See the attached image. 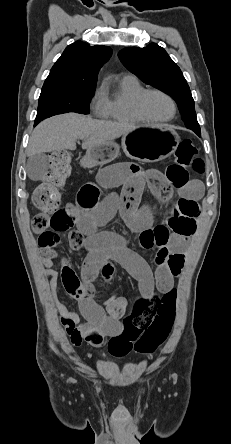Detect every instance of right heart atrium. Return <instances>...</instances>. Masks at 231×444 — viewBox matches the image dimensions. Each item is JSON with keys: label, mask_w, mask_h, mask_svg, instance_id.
<instances>
[{"label": "right heart atrium", "mask_w": 231, "mask_h": 444, "mask_svg": "<svg viewBox=\"0 0 231 444\" xmlns=\"http://www.w3.org/2000/svg\"><path fill=\"white\" fill-rule=\"evenodd\" d=\"M108 108V98L103 86H100L94 92L91 99V109L96 116L104 117Z\"/></svg>", "instance_id": "1"}]
</instances>
